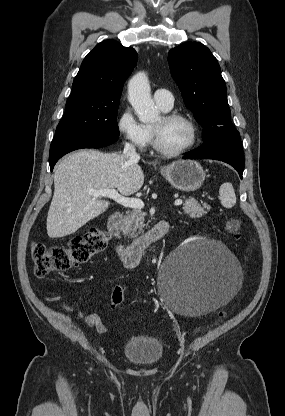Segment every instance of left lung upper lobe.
Instances as JSON below:
<instances>
[{
    "label": "left lung upper lobe",
    "instance_id": "1",
    "mask_svg": "<svg viewBox=\"0 0 285 416\" xmlns=\"http://www.w3.org/2000/svg\"><path fill=\"white\" fill-rule=\"evenodd\" d=\"M168 61L186 107L204 127V141L239 135L230 122L226 84L210 50L201 43L186 42L169 51Z\"/></svg>",
    "mask_w": 285,
    "mask_h": 416
}]
</instances>
